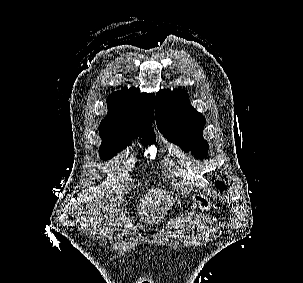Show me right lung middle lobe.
<instances>
[{"mask_svg": "<svg viewBox=\"0 0 303 283\" xmlns=\"http://www.w3.org/2000/svg\"><path fill=\"white\" fill-rule=\"evenodd\" d=\"M154 130L151 127H139L128 132H103L100 133L102 145L100 146L99 155L103 160H109L117 152L131 145L134 138H142L143 145L153 144L155 142Z\"/></svg>", "mask_w": 303, "mask_h": 283, "instance_id": "1", "label": "right lung middle lobe"}]
</instances>
